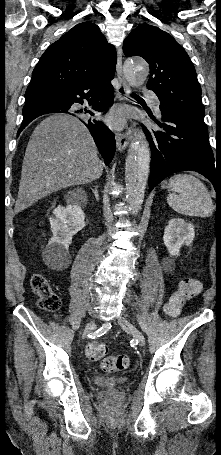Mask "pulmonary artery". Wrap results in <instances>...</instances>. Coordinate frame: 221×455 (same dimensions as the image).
<instances>
[{"instance_id":"pulmonary-artery-1","label":"pulmonary artery","mask_w":221,"mask_h":455,"mask_svg":"<svg viewBox=\"0 0 221 455\" xmlns=\"http://www.w3.org/2000/svg\"><path fill=\"white\" fill-rule=\"evenodd\" d=\"M143 95H145V96H152V92H151L150 90H148V89H144V90H143ZM153 103H154L155 108H156V109H159V102H158V100L155 99V101H154Z\"/></svg>"}]
</instances>
